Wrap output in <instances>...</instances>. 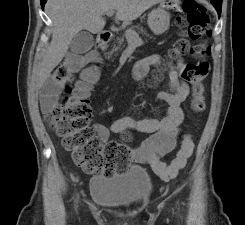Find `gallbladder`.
<instances>
[{
    "label": "gallbladder",
    "mask_w": 245,
    "mask_h": 225,
    "mask_svg": "<svg viewBox=\"0 0 245 225\" xmlns=\"http://www.w3.org/2000/svg\"><path fill=\"white\" fill-rule=\"evenodd\" d=\"M93 45V35L87 31H81L73 37L70 43V49L74 54H84L88 52Z\"/></svg>",
    "instance_id": "obj_1"
}]
</instances>
